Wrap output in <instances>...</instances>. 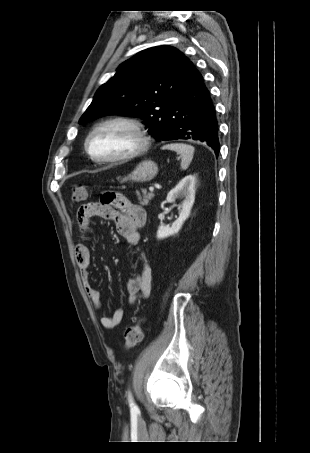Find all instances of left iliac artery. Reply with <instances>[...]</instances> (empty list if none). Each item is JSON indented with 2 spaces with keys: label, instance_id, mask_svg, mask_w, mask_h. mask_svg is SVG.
Wrapping results in <instances>:
<instances>
[{
  "label": "left iliac artery",
  "instance_id": "obj_1",
  "mask_svg": "<svg viewBox=\"0 0 310 453\" xmlns=\"http://www.w3.org/2000/svg\"><path fill=\"white\" fill-rule=\"evenodd\" d=\"M128 401H129V405H130V407H131V411H137V410H138V407H137V405L134 403L133 398H132V395H131L130 392H129V396H128Z\"/></svg>",
  "mask_w": 310,
  "mask_h": 453
}]
</instances>
